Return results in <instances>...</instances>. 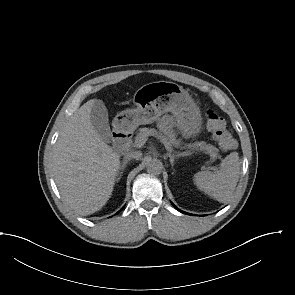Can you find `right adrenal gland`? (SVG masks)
Instances as JSON below:
<instances>
[{"label":"right adrenal gland","instance_id":"obj_1","mask_svg":"<svg viewBox=\"0 0 295 295\" xmlns=\"http://www.w3.org/2000/svg\"><path fill=\"white\" fill-rule=\"evenodd\" d=\"M128 162H129V160L125 159V160L122 162V164L119 165L118 170H117V174H116V176H117L116 181H119V180L121 179L122 174H123V171H124V169H125V167H126V164H127Z\"/></svg>","mask_w":295,"mask_h":295}]
</instances>
